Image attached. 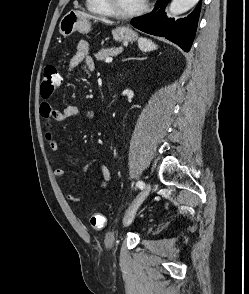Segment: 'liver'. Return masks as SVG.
<instances>
[{
    "instance_id": "1",
    "label": "liver",
    "mask_w": 249,
    "mask_h": 294,
    "mask_svg": "<svg viewBox=\"0 0 249 294\" xmlns=\"http://www.w3.org/2000/svg\"><path fill=\"white\" fill-rule=\"evenodd\" d=\"M83 16H86V17H88V18H93V16H91V15H89V14H86V13H82V12H80ZM95 19H98V20H100V21H102V22H104V23H106V24H113V22L112 21H109V20H107V19H100V18H95Z\"/></svg>"
}]
</instances>
